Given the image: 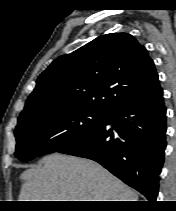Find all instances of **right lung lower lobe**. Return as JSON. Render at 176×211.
<instances>
[{"instance_id": "98d812e1", "label": "right lung lower lobe", "mask_w": 176, "mask_h": 211, "mask_svg": "<svg viewBox=\"0 0 176 211\" xmlns=\"http://www.w3.org/2000/svg\"><path fill=\"white\" fill-rule=\"evenodd\" d=\"M165 133L166 108L158 87L138 101L107 112L99 126L58 152L97 161L153 202L164 161Z\"/></svg>"}]
</instances>
